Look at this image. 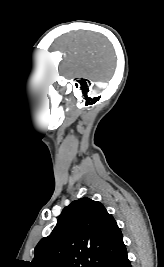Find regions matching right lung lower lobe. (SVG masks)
<instances>
[{
  "label": "right lung lower lobe",
  "mask_w": 164,
  "mask_h": 267,
  "mask_svg": "<svg viewBox=\"0 0 164 267\" xmlns=\"http://www.w3.org/2000/svg\"><path fill=\"white\" fill-rule=\"evenodd\" d=\"M97 267H131L126 248L109 255Z\"/></svg>",
  "instance_id": "98d812e1"
}]
</instances>
